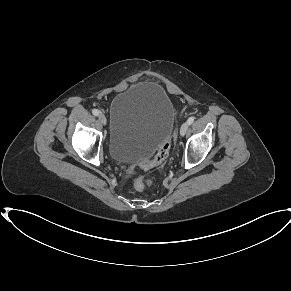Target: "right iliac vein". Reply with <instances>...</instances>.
Returning <instances> with one entry per match:
<instances>
[{
	"label": "right iliac vein",
	"mask_w": 291,
	"mask_h": 291,
	"mask_svg": "<svg viewBox=\"0 0 291 291\" xmlns=\"http://www.w3.org/2000/svg\"><path fill=\"white\" fill-rule=\"evenodd\" d=\"M98 118L103 125H106L107 119L104 114H99Z\"/></svg>",
	"instance_id": "obj_1"
}]
</instances>
